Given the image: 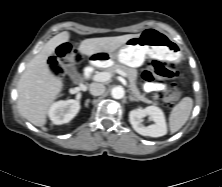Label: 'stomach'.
Returning a JSON list of instances; mask_svg holds the SVG:
<instances>
[{"label":"stomach","mask_w":222,"mask_h":187,"mask_svg":"<svg viewBox=\"0 0 222 187\" xmlns=\"http://www.w3.org/2000/svg\"><path fill=\"white\" fill-rule=\"evenodd\" d=\"M147 57L178 63L182 51L178 43L164 31L147 28L112 53L99 52L91 55L90 62L94 65H107L117 61L130 67H140Z\"/></svg>","instance_id":"stomach-1"}]
</instances>
